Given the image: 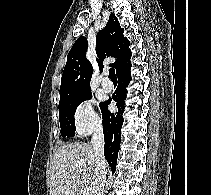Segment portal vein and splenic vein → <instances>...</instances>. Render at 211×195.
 <instances>
[{
  "label": "portal vein and splenic vein",
  "mask_w": 211,
  "mask_h": 195,
  "mask_svg": "<svg viewBox=\"0 0 211 195\" xmlns=\"http://www.w3.org/2000/svg\"><path fill=\"white\" fill-rule=\"evenodd\" d=\"M82 195H87L85 190H81Z\"/></svg>",
  "instance_id": "obj_1"
}]
</instances>
